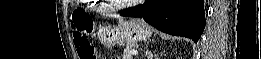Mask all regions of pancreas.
<instances>
[{"label": "pancreas", "mask_w": 261, "mask_h": 59, "mask_svg": "<svg viewBox=\"0 0 261 59\" xmlns=\"http://www.w3.org/2000/svg\"><path fill=\"white\" fill-rule=\"evenodd\" d=\"M135 48L133 44L127 45L123 52L122 59H133L131 51Z\"/></svg>", "instance_id": "1"}]
</instances>
